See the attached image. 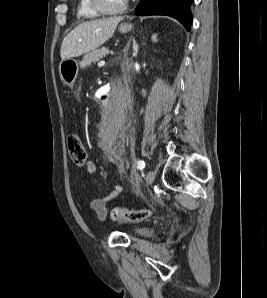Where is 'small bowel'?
I'll use <instances>...</instances> for the list:
<instances>
[{"instance_id": "obj_1", "label": "small bowel", "mask_w": 267, "mask_h": 298, "mask_svg": "<svg viewBox=\"0 0 267 298\" xmlns=\"http://www.w3.org/2000/svg\"><path fill=\"white\" fill-rule=\"evenodd\" d=\"M120 170L123 168L121 166H118ZM97 165L93 162H90L86 166V171L89 174L95 173L97 171ZM122 192V186L121 185H115L112 190L105 196L102 197H96L91 200L90 207L91 209L96 213L99 220L104 221L107 216V203L117 198Z\"/></svg>"}]
</instances>
